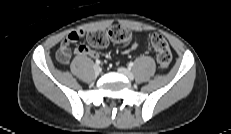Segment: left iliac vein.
Returning a JSON list of instances; mask_svg holds the SVG:
<instances>
[{"instance_id":"left-iliac-vein-1","label":"left iliac vein","mask_w":231,"mask_h":134,"mask_svg":"<svg viewBox=\"0 0 231 134\" xmlns=\"http://www.w3.org/2000/svg\"><path fill=\"white\" fill-rule=\"evenodd\" d=\"M118 72L120 74L124 75L129 80H133L134 79L133 73L130 70L124 68V67L118 68Z\"/></svg>"}]
</instances>
